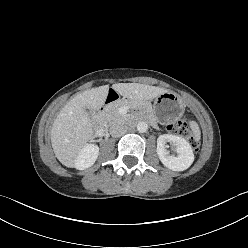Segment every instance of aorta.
I'll list each match as a JSON object with an SVG mask.
<instances>
[{"mask_svg": "<svg viewBox=\"0 0 248 248\" xmlns=\"http://www.w3.org/2000/svg\"><path fill=\"white\" fill-rule=\"evenodd\" d=\"M148 130V124L146 122H139L137 124V131L140 132V133H144Z\"/></svg>", "mask_w": 248, "mask_h": 248, "instance_id": "obj_1", "label": "aorta"}]
</instances>
